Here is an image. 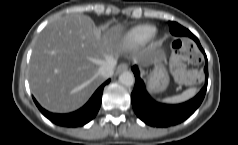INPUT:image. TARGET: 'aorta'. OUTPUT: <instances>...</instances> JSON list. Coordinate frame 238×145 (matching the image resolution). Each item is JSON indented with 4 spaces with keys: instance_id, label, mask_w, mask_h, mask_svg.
<instances>
[{
    "instance_id": "762f6f07",
    "label": "aorta",
    "mask_w": 238,
    "mask_h": 145,
    "mask_svg": "<svg viewBox=\"0 0 238 145\" xmlns=\"http://www.w3.org/2000/svg\"><path fill=\"white\" fill-rule=\"evenodd\" d=\"M119 82L125 86H132L135 82V78L132 72L124 71L119 75Z\"/></svg>"
}]
</instances>
